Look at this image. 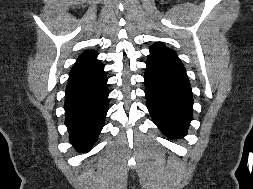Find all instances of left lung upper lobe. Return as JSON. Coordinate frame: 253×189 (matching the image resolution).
<instances>
[{
	"label": "left lung upper lobe",
	"instance_id": "1",
	"mask_svg": "<svg viewBox=\"0 0 253 189\" xmlns=\"http://www.w3.org/2000/svg\"><path fill=\"white\" fill-rule=\"evenodd\" d=\"M153 61L166 62L185 70L176 52L165 47V45L162 43H156L150 47V55L147 59V62Z\"/></svg>",
	"mask_w": 253,
	"mask_h": 189
}]
</instances>
